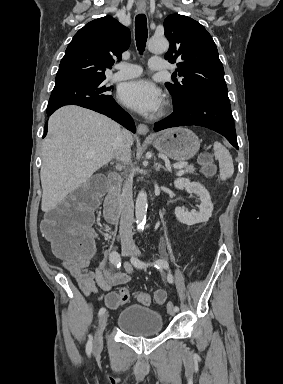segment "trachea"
Here are the masks:
<instances>
[{
    "instance_id": "obj_1",
    "label": "trachea",
    "mask_w": 283,
    "mask_h": 384,
    "mask_svg": "<svg viewBox=\"0 0 283 384\" xmlns=\"http://www.w3.org/2000/svg\"><path fill=\"white\" fill-rule=\"evenodd\" d=\"M147 38H148L147 18H146V15H144V13H140L135 18V39H136L137 50L139 51L140 55H142L145 50Z\"/></svg>"
}]
</instances>
